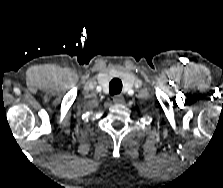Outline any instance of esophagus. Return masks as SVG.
<instances>
[{"label":"esophagus","mask_w":223,"mask_h":188,"mask_svg":"<svg viewBox=\"0 0 223 188\" xmlns=\"http://www.w3.org/2000/svg\"><path fill=\"white\" fill-rule=\"evenodd\" d=\"M113 102L115 104H122L124 102V97L122 95H116L113 97Z\"/></svg>","instance_id":"esophagus-1"}]
</instances>
